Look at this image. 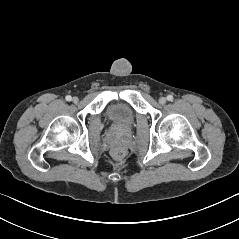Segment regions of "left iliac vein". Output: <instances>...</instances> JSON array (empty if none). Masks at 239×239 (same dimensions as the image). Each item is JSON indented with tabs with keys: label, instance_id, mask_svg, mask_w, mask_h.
I'll use <instances>...</instances> for the list:
<instances>
[{
	"label": "left iliac vein",
	"instance_id": "obj_1",
	"mask_svg": "<svg viewBox=\"0 0 239 239\" xmlns=\"http://www.w3.org/2000/svg\"><path fill=\"white\" fill-rule=\"evenodd\" d=\"M159 103L162 104V105L165 104L166 103V98L165 97H160L159 98Z\"/></svg>",
	"mask_w": 239,
	"mask_h": 239
}]
</instances>
